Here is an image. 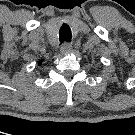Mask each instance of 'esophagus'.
<instances>
[{"mask_svg":"<svg viewBox=\"0 0 135 135\" xmlns=\"http://www.w3.org/2000/svg\"><path fill=\"white\" fill-rule=\"evenodd\" d=\"M72 51V46L68 43H65L60 48V53L63 55L69 54Z\"/></svg>","mask_w":135,"mask_h":135,"instance_id":"obj_1","label":"esophagus"}]
</instances>
